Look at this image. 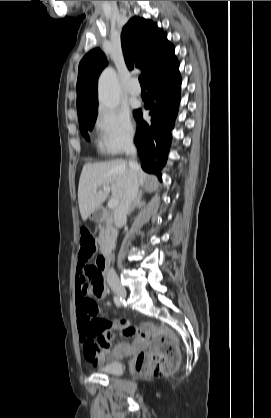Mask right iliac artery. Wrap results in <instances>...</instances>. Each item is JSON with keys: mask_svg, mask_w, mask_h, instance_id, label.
Instances as JSON below:
<instances>
[{"mask_svg": "<svg viewBox=\"0 0 271 418\" xmlns=\"http://www.w3.org/2000/svg\"><path fill=\"white\" fill-rule=\"evenodd\" d=\"M114 303L116 304L117 307H121L123 302L120 297L114 296Z\"/></svg>", "mask_w": 271, "mask_h": 418, "instance_id": "82829eb1", "label": "right iliac artery"}]
</instances>
